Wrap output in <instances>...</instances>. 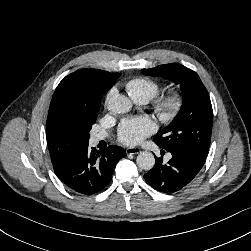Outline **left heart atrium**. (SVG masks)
<instances>
[{
    "label": "left heart atrium",
    "instance_id": "39dd6f15",
    "mask_svg": "<svg viewBox=\"0 0 251 251\" xmlns=\"http://www.w3.org/2000/svg\"><path fill=\"white\" fill-rule=\"evenodd\" d=\"M154 132V125L147 117L128 119L121 123L118 139L126 145H137Z\"/></svg>",
    "mask_w": 251,
    "mask_h": 251
}]
</instances>
